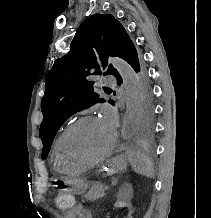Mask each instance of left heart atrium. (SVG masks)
<instances>
[{
    "mask_svg": "<svg viewBox=\"0 0 211 218\" xmlns=\"http://www.w3.org/2000/svg\"><path fill=\"white\" fill-rule=\"evenodd\" d=\"M101 120L107 127L113 130L116 124L115 111L108 106L103 107L101 110Z\"/></svg>",
    "mask_w": 211,
    "mask_h": 218,
    "instance_id": "1",
    "label": "left heart atrium"
}]
</instances>
